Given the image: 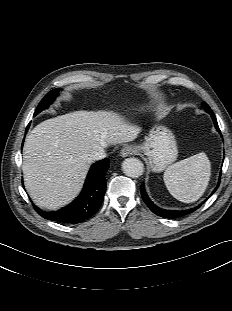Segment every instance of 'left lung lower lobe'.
Returning a JSON list of instances; mask_svg holds the SVG:
<instances>
[{
    "label": "left lung lower lobe",
    "mask_w": 232,
    "mask_h": 311,
    "mask_svg": "<svg viewBox=\"0 0 232 311\" xmlns=\"http://www.w3.org/2000/svg\"><path fill=\"white\" fill-rule=\"evenodd\" d=\"M206 112H208L213 121H214V124H215V128L216 130L221 134V131L218 127V124H217V120H216V117L213 113V111L210 109V108H206L205 110ZM219 183H220V178H219V182H218V185L217 187L213 190L212 194L217 190L218 186H219ZM140 191H141V195H142V198L144 200V202L146 203V205L150 208V210L152 212H154L156 215L158 216H161V217H164V218H170V219H175V218H179V217H182L184 215H187L191 212L194 211V209L196 208H193V209H188V210H183V211H178V210H164V209H161L159 207H157L147 196L146 192H145V187H144V184H142L140 186ZM211 194V195H212ZM204 203V202H203ZM200 206V205H199Z\"/></svg>",
    "instance_id": "left-lung-lower-lobe-1"
}]
</instances>
